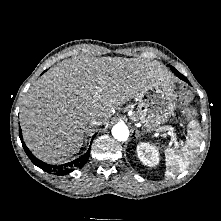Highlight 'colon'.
<instances>
[{"mask_svg":"<svg viewBox=\"0 0 221 221\" xmlns=\"http://www.w3.org/2000/svg\"><path fill=\"white\" fill-rule=\"evenodd\" d=\"M180 99L183 103H187L190 101L191 99V94L190 92L188 91H183L180 95ZM195 111L194 109L190 108V107H187V106H184L182 108V114L185 116V117H192L194 115Z\"/></svg>","mask_w":221,"mask_h":221,"instance_id":"5ec220e1","label":"colon"}]
</instances>
